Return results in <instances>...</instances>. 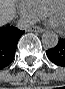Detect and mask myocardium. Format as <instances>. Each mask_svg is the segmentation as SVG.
I'll return each mask as SVG.
<instances>
[{
  "instance_id": "f54148a6",
  "label": "myocardium",
  "mask_w": 65,
  "mask_h": 89,
  "mask_svg": "<svg viewBox=\"0 0 65 89\" xmlns=\"http://www.w3.org/2000/svg\"><path fill=\"white\" fill-rule=\"evenodd\" d=\"M58 5H63L65 7V2H63L62 0H57L49 3L48 6L46 7V14L50 17L52 9ZM64 30L65 29L58 27L59 32H63Z\"/></svg>"
}]
</instances>
